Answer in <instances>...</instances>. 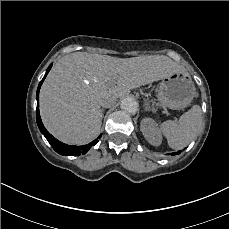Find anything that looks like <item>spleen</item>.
<instances>
[{"mask_svg": "<svg viewBox=\"0 0 229 229\" xmlns=\"http://www.w3.org/2000/svg\"><path fill=\"white\" fill-rule=\"evenodd\" d=\"M202 125L201 108L194 105L181 115L178 123L167 120L161 125V132L172 149H182L189 145Z\"/></svg>", "mask_w": 229, "mask_h": 229, "instance_id": "1", "label": "spleen"}]
</instances>
